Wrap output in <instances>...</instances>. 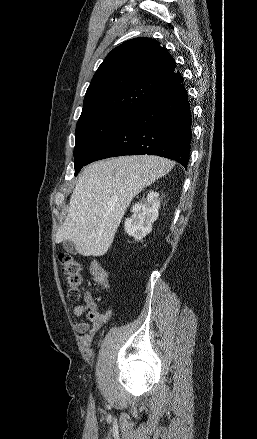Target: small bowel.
Listing matches in <instances>:
<instances>
[{"label": "small bowel", "instance_id": "1", "mask_svg": "<svg viewBox=\"0 0 257 439\" xmlns=\"http://www.w3.org/2000/svg\"><path fill=\"white\" fill-rule=\"evenodd\" d=\"M86 313V320L76 325L77 332L81 335V341L84 345L89 346L92 342V332L100 324L106 322L110 318V314H102L98 310L97 303L90 293L84 298V303L74 308V315L81 317Z\"/></svg>", "mask_w": 257, "mask_h": 439}]
</instances>
